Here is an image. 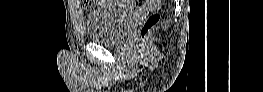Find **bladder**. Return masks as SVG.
<instances>
[{
    "mask_svg": "<svg viewBox=\"0 0 263 92\" xmlns=\"http://www.w3.org/2000/svg\"><path fill=\"white\" fill-rule=\"evenodd\" d=\"M115 4V1H107ZM101 6L90 12L85 19V28L91 41L114 45L132 28L137 12L118 6Z\"/></svg>",
    "mask_w": 263,
    "mask_h": 92,
    "instance_id": "1",
    "label": "bladder"
}]
</instances>
